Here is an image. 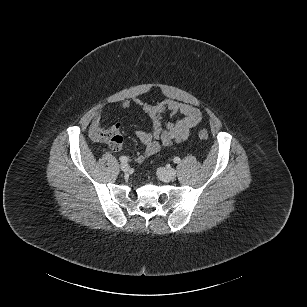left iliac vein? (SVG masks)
I'll list each match as a JSON object with an SVG mask.
<instances>
[{"label":"left iliac vein","instance_id":"4c4485c4","mask_svg":"<svg viewBox=\"0 0 307 307\" xmlns=\"http://www.w3.org/2000/svg\"><path fill=\"white\" fill-rule=\"evenodd\" d=\"M158 174L163 181L169 182L176 177V169H174V168H168V169L160 168V169H158Z\"/></svg>","mask_w":307,"mask_h":307}]
</instances>
